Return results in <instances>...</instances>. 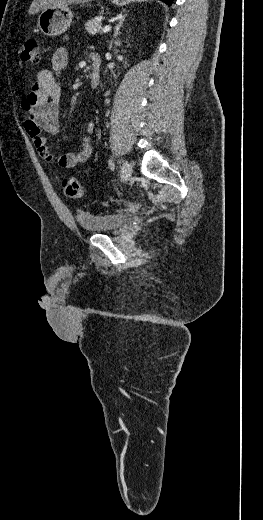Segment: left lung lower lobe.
Returning <instances> with one entry per match:
<instances>
[{
  "label": "left lung lower lobe",
  "instance_id": "1",
  "mask_svg": "<svg viewBox=\"0 0 263 520\" xmlns=\"http://www.w3.org/2000/svg\"><path fill=\"white\" fill-rule=\"evenodd\" d=\"M162 1L168 5H171L173 3V0H162Z\"/></svg>",
  "mask_w": 263,
  "mask_h": 520
}]
</instances>
